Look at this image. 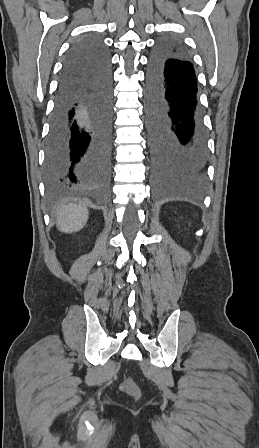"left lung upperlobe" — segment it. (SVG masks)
<instances>
[{"label":"left lung upper lobe","instance_id":"left-lung-upper-lobe-1","mask_svg":"<svg viewBox=\"0 0 259 448\" xmlns=\"http://www.w3.org/2000/svg\"><path fill=\"white\" fill-rule=\"evenodd\" d=\"M170 51L173 53L180 54V55L189 56L188 53L178 43L171 44Z\"/></svg>","mask_w":259,"mask_h":448}]
</instances>
